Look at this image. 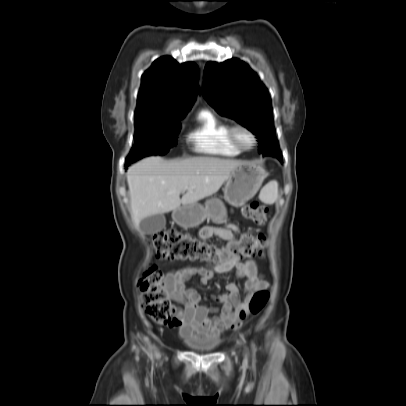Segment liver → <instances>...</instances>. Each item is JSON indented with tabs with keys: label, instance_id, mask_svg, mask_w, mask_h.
Masks as SVG:
<instances>
[{
	"label": "liver",
	"instance_id": "6515ba94",
	"mask_svg": "<svg viewBox=\"0 0 406 406\" xmlns=\"http://www.w3.org/2000/svg\"><path fill=\"white\" fill-rule=\"evenodd\" d=\"M246 162L216 157L167 161L148 157L127 171L131 216L135 225L152 215L167 213L216 193L229 175ZM186 193L180 199V193Z\"/></svg>",
	"mask_w": 406,
	"mask_h": 406
}]
</instances>
